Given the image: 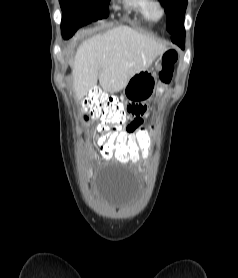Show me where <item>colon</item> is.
I'll list each match as a JSON object with an SVG mask.
<instances>
[{
	"mask_svg": "<svg viewBox=\"0 0 238 278\" xmlns=\"http://www.w3.org/2000/svg\"><path fill=\"white\" fill-rule=\"evenodd\" d=\"M177 60V52L168 50L163 58L160 80L169 83L173 76L174 65ZM82 107L84 117L99 124L93 131L97 140L99 159H117V162H146L150 150L145 148L147 142H154L153 130H136L135 137L128 136V131H122L121 127L127 122L130 106H125L118 98L108 95L100 89H93L83 100ZM155 128L154 124L150 125Z\"/></svg>",
	"mask_w": 238,
	"mask_h": 278,
	"instance_id": "colon-1",
	"label": "colon"
}]
</instances>
